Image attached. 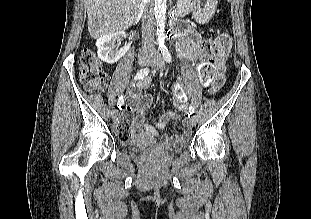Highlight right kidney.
I'll return each mask as SVG.
<instances>
[{
	"label": "right kidney",
	"instance_id": "ca27d5eb",
	"mask_svg": "<svg viewBox=\"0 0 311 219\" xmlns=\"http://www.w3.org/2000/svg\"><path fill=\"white\" fill-rule=\"evenodd\" d=\"M124 38H126L125 32L118 31L97 39L96 46L98 48V57L105 63H116L127 53L130 47V43H128L124 47L118 49L121 41Z\"/></svg>",
	"mask_w": 311,
	"mask_h": 219
}]
</instances>
